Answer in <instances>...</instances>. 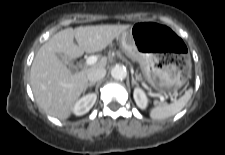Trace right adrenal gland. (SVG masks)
<instances>
[{"mask_svg":"<svg viewBox=\"0 0 225 155\" xmlns=\"http://www.w3.org/2000/svg\"><path fill=\"white\" fill-rule=\"evenodd\" d=\"M95 85V83H89L88 85H87V87H86V89L89 87V88H91V87H93Z\"/></svg>","mask_w":225,"mask_h":155,"instance_id":"right-adrenal-gland-1","label":"right adrenal gland"}]
</instances>
